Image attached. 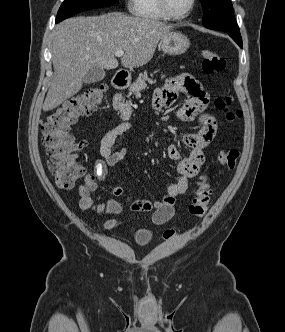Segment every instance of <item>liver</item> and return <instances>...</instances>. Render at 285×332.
Returning <instances> with one entry per match:
<instances>
[{
    "mask_svg": "<svg viewBox=\"0 0 285 332\" xmlns=\"http://www.w3.org/2000/svg\"><path fill=\"white\" fill-rule=\"evenodd\" d=\"M171 30V25L157 20L118 12L62 21L53 31L54 78L43 111H51L77 94L91 67L117 68L116 50L124 51V67L145 65L152 59L158 42Z\"/></svg>",
    "mask_w": 285,
    "mask_h": 332,
    "instance_id": "obj_1",
    "label": "liver"
}]
</instances>
